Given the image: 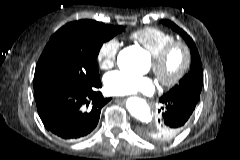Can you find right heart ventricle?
Listing matches in <instances>:
<instances>
[{
  "mask_svg": "<svg viewBox=\"0 0 240 160\" xmlns=\"http://www.w3.org/2000/svg\"><path fill=\"white\" fill-rule=\"evenodd\" d=\"M130 38L141 44L151 55H156L164 46L174 41L172 34L156 27L139 29Z\"/></svg>",
  "mask_w": 240,
  "mask_h": 160,
  "instance_id": "e07e8e85",
  "label": "right heart ventricle"
}]
</instances>
